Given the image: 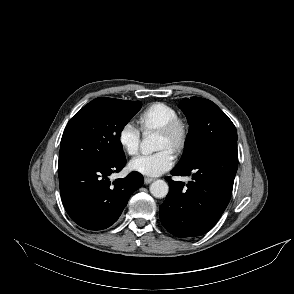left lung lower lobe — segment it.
I'll return each instance as SVG.
<instances>
[{
    "instance_id": "obj_1",
    "label": "left lung lower lobe",
    "mask_w": 294,
    "mask_h": 294,
    "mask_svg": "<svg viewBox=\"0 0 294 294\" xmlns=\"http://www.w3.org/2000/svg\"><path fill=\"white\" fill-rule=\"evenodd\" d=\"M238 168L237 142L219 144L191 166L175 167L172 175L192 176L186 187L169 177V193L160 205L163 226L177 237L208 232L226 209Z\"/></svg>"
}]
</instances>
